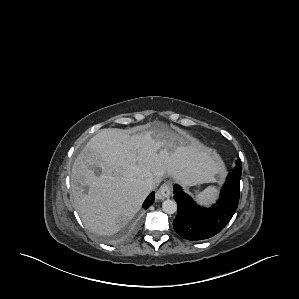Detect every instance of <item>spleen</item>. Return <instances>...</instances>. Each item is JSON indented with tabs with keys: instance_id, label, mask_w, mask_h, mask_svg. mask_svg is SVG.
Wrapping results in <instances>:
<instances>
[{
	"instance_id": "3e777b00",
	"label": "spleen",
	"mask_w": 299,
	"mask_h": 299,
	"mask_svg": "<svg viewBox=\"0 0 299 299\" xmlns=\"http://www.w3.org/2000/svg\"><path fill=\"white\" fill-rule=\"evenodd\" d=\"M215 194L216 188L208 187L198 195V199L200 202H210L215 197Z\"/></svg>"
}]
</instances>
